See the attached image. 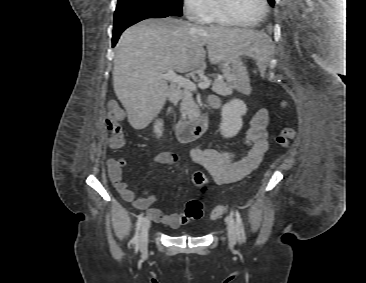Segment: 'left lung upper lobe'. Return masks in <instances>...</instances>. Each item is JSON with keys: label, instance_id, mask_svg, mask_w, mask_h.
Returning <instances> with one entry per match:
<instances>
[{"label": "left lung upper lobe", "instance_id": "left-lung-upper-lobe-1", "mask_svg": "<svg viewBox=\"0 0 366 283\" xmlns=\"http://www.w3.org/2000/svg\"><path fill=\"white\" fill-rule=\"evenodd\" d=\"M268 2H269V4H270L271 6H273V5H274V3H275V1H274V0H268Z\"/></svg>", "mask_w": 366, "mask_h": 283}]
</instances>
